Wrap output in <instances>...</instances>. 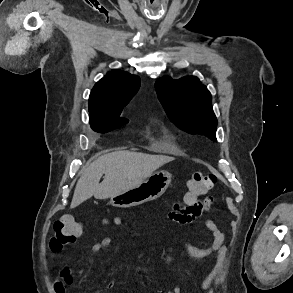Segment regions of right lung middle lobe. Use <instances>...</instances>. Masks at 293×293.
Here are the masks:
<instances>
[{"label":"right lung middle lobe","mask_w":293,"mask_h":293,"mask_svg":"<svg viewBox=\"0 0 293 293\" xmlns=\"http://www.w3.org/2000/svg\"><path fill=\"white\" fill-rule=\"evenodd\" d=\"M120 114L90 118L91 128L96 132L105 133L128 123L129 120L120 117Z\"/></svg>","instance_id":"right-lung-middle-lobe-1"}]
</instances>
